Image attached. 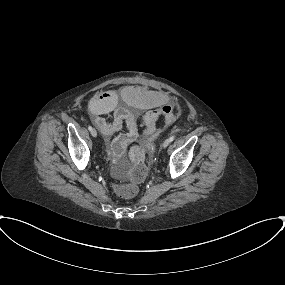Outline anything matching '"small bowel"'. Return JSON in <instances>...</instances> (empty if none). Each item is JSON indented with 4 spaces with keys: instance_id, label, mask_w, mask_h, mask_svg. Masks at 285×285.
I'll list each match as a JSON object with an SVG mask.
<instances>
[{
    "instance_id": "small-bowel-1",
    "label": "small bowel",
    "mask_w": 285,
    "mask_h": 285,
    "mask_svg": "<svg viewBox=\"0 0 285 285\" xmlns=\"http://www.w3.org/2000/svg\"><path fill=\"white\" fill-rule=\"evenodd\" d=\"M125 93L131 108L120 105V93L117 91H105L95 96L90 104L91 120L102 134L109 157L115 164L123 159L126 147L138 140L137 119L140 114L155 111L168 124L173 123L180 114L179 108L171 104L165 94L133 86L127 87ZM123 125H126L127 131L119 133ZM145 142L143 140L142 146L134 150V158H138Z\"/></svg>"
}]
</instances>
